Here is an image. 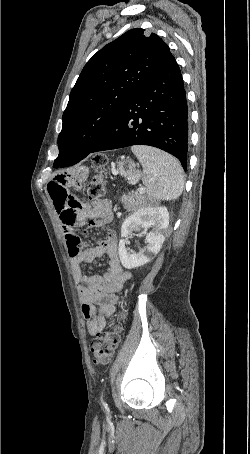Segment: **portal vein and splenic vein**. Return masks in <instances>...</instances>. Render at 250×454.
<instances>
[{"mask_svg": "<svg viewBox=\"0 0 250 454\" xmlns=\"http://www.w3.org/2000/svg\"><path fill=\"white\" fill-rule=\"evenodd\" d=\"M139 192H143L144 191V188H140L138 189Z\"/></svg>", "mask_w": 250, "mask_h": 454, "instance_id": "obj_1", "label": "portal vein and splenic vein"}]
</instances>
